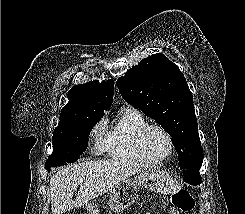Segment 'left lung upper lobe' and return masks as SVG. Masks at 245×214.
<instances>
[{
	"label": "left lung upper lobe",
	"mask_w": 245,
	"mask_h": 214,
	"mask_svg": "<svg viewBox=\"0 0 245 214\" xmlns=\"http://www.w3.org/2000/svg\"><path fill=\"white\" fill-rule=\"evenodd\" d=\"M125 101L172 137L182 169L201 168L203 150L193 96L179 67L161 53L144 58L117 81Z\"/></svg>",
	"instance_id": "5c2ea615"
}]
</instances>
